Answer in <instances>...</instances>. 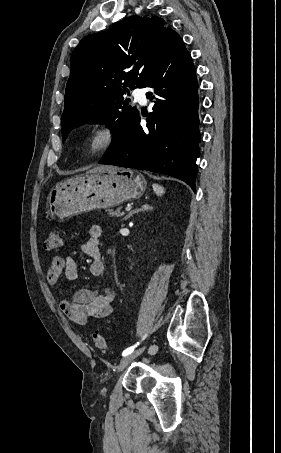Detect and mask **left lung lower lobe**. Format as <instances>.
I'll list each match as a JSON object with an SVG mask.
<instances>
[{
	"label": "left lung lower lobe",
	"instance_id": "0a47b994",
	"mask_svg": "<svg viewBox=\"0 0 281 453\" xmlns=\"http://www.w3.org/2000/svg\"><path fill=\"white\" fill-rule=\"evenodd\" d=\"M146 87L152 88L146 95L155 103L147 128L140 126L137 116L99 164L167 174L183 180L195 191L201 139L198 83L192 58L179 35L172 40Z\"/></svg>",
	"mask_w": 281,
	"mask_h": 453
}]
</instances>
